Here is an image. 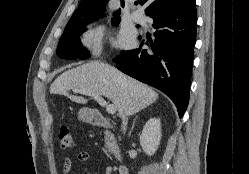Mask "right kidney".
<instances>
[{
	"label": "right kidney",
	"mask_w": 249,
	"mask_h": 174,
	"mask_svg": "<svg viewBox=\"0 0 249 174\" xmlns=\"http://www.w3.org/2000/svg\"><path fill=\"white\" fill-rule=\"evenodd\" d=\"M161 140V122L160 119L151 118L145 124L140 135V145L144 152L151 156L155 154Z\"/></svg>",
	"instance_id": "1"
}]
</instances>
